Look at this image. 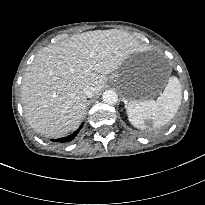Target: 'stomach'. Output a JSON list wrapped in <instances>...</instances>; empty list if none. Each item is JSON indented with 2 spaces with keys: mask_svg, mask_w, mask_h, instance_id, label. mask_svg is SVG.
<instances>
[{
  "mask_svg": "<svg viewBox=\"0 0 205 205\" xmlns=\"http://www.w3.org/2000/svg\"><path fill=\"white\" fill-rule=\"evenodd\" d=\"M111 82L127 101H143L154 98L164 87V81L148 82L143 67L133 61L124 62L111 75Z\"/></svg>",
  "mask_w": 205,
  "mask_h": 205,
  "instance_id": "obj_1",
  "label": "stomach"
}]
</instances>
